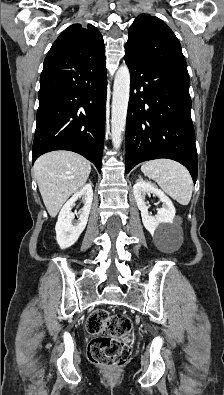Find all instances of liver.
Returning <instances> with one entry per match:
<instances>
[{
  "mask_svg": "<svg viewBox=\"0 0 224 395\" xmlns=\"http://www.w3.org/2000/svg\"><path fill=\"white\" fill-rule=\"evenodd\" d=\"M44 205L55 217L67 199L86 183L90 162L70 151H53L40 156L33 167Z\"/></svg>",
  "mask_w": 224,
  "mask_h": 395,
  "instance_id": "liver-1",
  "label": "liver"
}]
</instances>
